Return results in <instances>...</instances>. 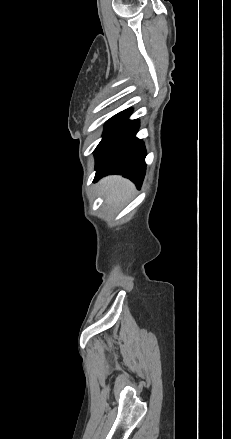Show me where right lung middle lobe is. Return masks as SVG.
<instances>
[{
	"label": "right lung middle lobe",
	"instance_id": "obj_1",
	"mask_svg": "<svg viewBox=\"0 0 231 439\" xmlns=\"http://www.w3.org/2000/svg\"><path fill=\"white\" fill-rule=\"evenodd\" d=\"M131 114V109L124 110L115 116H113L111 119H109L105 124V129L103 132V139L102 141L109 136L111 133L122 127L123 125L130 122L128 119ZM101 141V142H102ZM100 142V143H101Z\"/></svg>",
	"mask_w": 231,
	"mask_h": 439
}]
</instances>
